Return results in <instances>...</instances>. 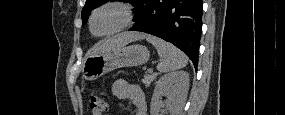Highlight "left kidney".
Returning <instances> with one entry per match:
<instances>
[{
	"label": "left kidney",
	"mask_w": 285,
	"mask_h": 115,
	"mask_svg": "<svg viewBox=\"0 0 285 115\" xmlns=\"http://www.w3.org/2000/svg\"><path fill=\"white\" fill-rule=\"evenodd\" d=\"M189 90V74L176 71L160 77L156 83L150 105L151 115H160L161 98L167 96L166 107L171 115H179L187 98Z\"/></svg>",
	"instance_id": "5707ae66"
}]
</instances>
